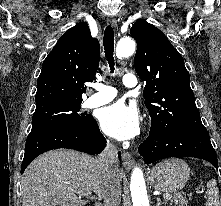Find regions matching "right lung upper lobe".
<instances>
[{
  "instance_id": "1",
  "label": "right lung upper lobe",
  "mask_w": 221,
  "mask_h": 206,
  "mask_svg": "<svg viewBox=\"0 0 221 206\" xmlns=\"http://www.w3.org/2000/svg\"><path fill=\"white\" fill-rule=\"evenodd\" d=\"M100 45L86 23L68 29L43 62L37 80L36 107L53 103H80L85 84L94 80Z\"/></svg>"
}]
</instances>
